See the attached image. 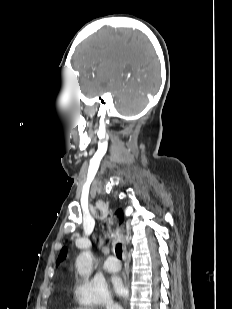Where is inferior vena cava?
I'll return each instance as SVG.
<instances>
[{"instance_id":"inferior-vena-cava-1","label":"inferior vena cava","mask_w":232,"mask_h":309,"mask_svg":"<svg viewBox=\"0 0 232 309\" xmlns=\"http://www.w3.org/2000/svg\"><path fill=\"white\" fill-rule=\"evenodd\" d=\"M106 309H122L121 307L113 304L112 302L107 303Z\"/></svg>"}]
</instances>
